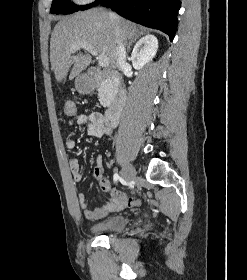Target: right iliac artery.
Segmentation results:
<instances>
[{"label":"right iliac artery","instance_id":"1","mask_svg":"<svg viewBox=\"0 0 247 280\" xmlns=\"http://www.w3.org/2000/svg\"><path fill=\"white\" fill-rule=\"evenodd\" d=\"M119 179H120L119 174L115 173L114 176H113L114 182L116 183Z\"/></svg>","mask_w":247,"mask_h":280}]
</instances>
